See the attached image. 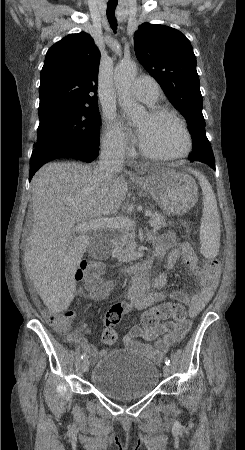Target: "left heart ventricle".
Instances as JSON below:
<instances>
[{
	"label": "left heart ventricle",
	"instance_id": "obj_1",
	"mask_svg": "<svg viewBox=\"0 0 245 450\" xmlns=\"http://www.w3.org/2000/svg\"><path fill=\"white\" fill-rule=\"evenodd\" d=\"M138 130L141 145L151 153L176 155L186 148L184 132L177 123L168 118L154 120L147 116L139 123Z\"/></svg>",
	"mask_w": 245,
	"mask_h": 450
}]
</instances>
